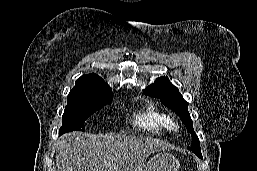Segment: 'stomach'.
<instances>
[{
  "label": "stomach",
  "mask_w": 257,
  "mask_h": 171,
  "mask_svg": "<svg viewBox=\"0 0 257 171\" xmlns=\"http://www.w3.org/2000/svg\"><path fill=\"white\" fill-rule=\"evenodd\" d=\"M178 160L169 153H158L146 164L144 171H178Z\"/></svg>",
  "instance_id": "stomach-1"
}]
</instances>
